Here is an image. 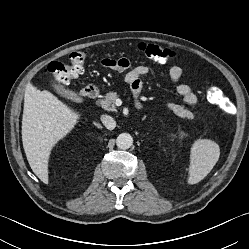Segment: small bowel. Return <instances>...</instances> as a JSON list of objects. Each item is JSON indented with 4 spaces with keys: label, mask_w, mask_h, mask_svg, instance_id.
I'll use <instances>...</instances> for the list:
<instances>
[{
    "label": "small bowel",
    "mask_w": 249,
    "mask_h": 249,
    "mask_svg": "<svg viewBox=\"0 0 249 249\" xmlns=\"http://www.w3.org/2000/svg\"><path fill=\"white\" fill-rule=\"evenodd\" d=\"M108 59L102 60V65H105V61ZM119 61L123 62L124 65L120 66L118 68L115 67H109V68H115L119 72H126V81L131 87L132 92L134 95H138L142 88H143V81L142 77L148 73V67L139 65L133 68H130V62L129 60L125 58L119 59ZM107 67V66H106ZM182 76V69L179 66H172L169 70V77L173 84L176 85V91L177 93L182 97L183 101L188 105H193L197 102L198 97L194 90L186 84L179 83Z\"/></svg>",
    "instance_id": "c3829d8e"
}]
</instances>
